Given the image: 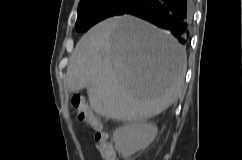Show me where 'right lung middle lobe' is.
Here are the masks:
<instances>
[{"label": "right lung middle lobe", "instance_id": "1", "mask_svg": "<svg viewBox=\"0 0 242 160\" xmlns=\"http://www.w3.org/2000/svg\"><path fill=\"white\" fill-rule=\"evenodd\" d=\"M141 0H81L78 6L76 30L86 32L97 22L122 15Z\"/></svg>", "mask_w": 242, "mask_h": 160}]
</instances>
